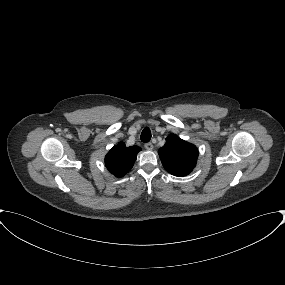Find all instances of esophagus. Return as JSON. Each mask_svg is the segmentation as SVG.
Returning a JSON list of instances; mask_svg holds the SVG:
<instances>
[{"mask_svg":"<svg viewBox=\"0 0 285 285\" xmlns=\"http://www.w3.org/2000/svg\"><path fill=\"white\" fill-rule=\"evenodd\" d=\"M145 148L147 149V150H152L153 149V144L152 143H150V142H148V143H145Z\"/></svg>","mask_w":285,"mask_h":285,"instance_id":"esophagus-1","label":"esophagus"}]
</instances>
